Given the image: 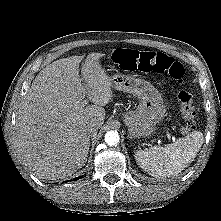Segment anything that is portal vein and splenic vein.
<instances>
[{"label":"portal vein and splenic vein","instance_id":"18ae733b","mask_svg":"<svg viewBox=\"0 0 221 221\" xmlns=\"http://www.w3.org/2000/svg\"><path fill=\"white\" fill-rule=\"evenodd\" d=\"M83 102H84L85 104H87V100H84Z\"/></svg>","mask_w":221,"mask_h":221}]
</instances>
